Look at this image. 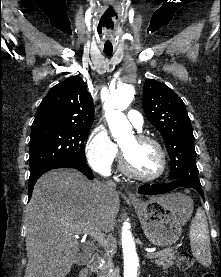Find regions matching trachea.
Instances as JSON below:
<instances>
[{"label":"trachea","mask_w":221,"mask_h":277,"mask_svg":"<svg viewBox=\"0 0 221 277\" xmlns=\"http://www.w3.org/2000/svg\"><path fill=\"white\" fill-rule=\"evenodd\" d=\"M106 55H110L112 53V51H105L104 52Z\"/></svg>","instance_id":"trachea-1"}]
</instances>
